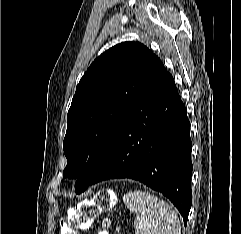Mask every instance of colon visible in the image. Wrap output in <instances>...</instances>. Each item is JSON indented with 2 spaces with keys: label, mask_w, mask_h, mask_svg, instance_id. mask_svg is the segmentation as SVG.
Returning a JSON list of instances; mask_svg holds the SVG:
<instances>
[{
  "label": "colon",
  "mask_w": 241,
  "mask_h": 234,
  "mask_svg": "<svg viewBox=\"0 0 241 234\" xmlns=\"http://www.w3.org/2000/svg\"><path fill=\"white\" fill-rule=\"evenodd\" d=\"M115 199L107 190L98 192L93 199L82 203L80 206L66 212L60 221L59 234H80L81 230L89 228L95 218L106 211L112 209ZM108 225V220L104 221V226ZM98 234H107L100 231Z\"/></svg>",
  "instance_id": "colon-1"
}]
</instances>
